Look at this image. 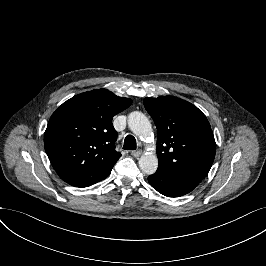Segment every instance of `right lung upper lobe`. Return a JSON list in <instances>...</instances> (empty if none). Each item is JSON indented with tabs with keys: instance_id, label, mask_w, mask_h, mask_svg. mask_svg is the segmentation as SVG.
I'll return each mask as SVG.
<instances>
[{
	"instance_id": "right-lung-upper-lobe-1",
	"label": "right lung upper lobe",
	"mask_w": 266,
	"mask_h": 266,
	"mask_svg": "<svg viewBox=\"0 0 266 266\" xmlns=\"http://www.w3.org/2000/svg\"><path fill=\"white\" fill-rule=\"evenodd\" d=\"M131 103L129 98L97 89L72 97L52 114L44 146L65 182L87 187L111 173L121 156L115 151L117 132L112 118Z\"/></svg>"
}]
</instances>
